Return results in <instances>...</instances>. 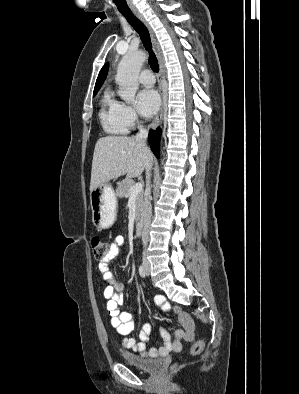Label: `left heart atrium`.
<instances>
[{"label":"left heart atrium","mask_w":299,"mask_h":394,"mask_svg":"<svg viewBox=\"0 0 299 394\" xmlns=\"http://www.w3.org/2000/svg\"><path fill=\"white\" fill-rule=\"evenodd\" d=\"M136 105L138 111L145 117L153 116L160 105L157 92L152 88H144L137 94Z\"/></svg>","instance_id":"1"}]
</instances>
